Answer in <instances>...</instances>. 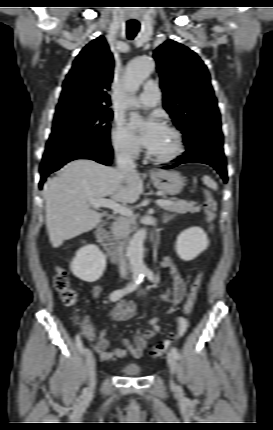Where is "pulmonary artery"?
<instances>
[{
	"mask_svg": "<svg viewBox=\"0 0 273 430\" xmlns=\"http://www.w3.org/2000/svg\"><path fill=\"white\" fill-rule=\"evenodd\" d=\"M160 99L161 91L158 84L153 80H149L138 97V104L140 107L148 109L157 106L160 103Z\"/></svg>",
	"mask_w": 273,
	"mask_h": 430,
	"instance_id": "1",
	"label": "pulmonary artery"
}]
</instances>
